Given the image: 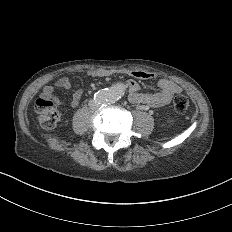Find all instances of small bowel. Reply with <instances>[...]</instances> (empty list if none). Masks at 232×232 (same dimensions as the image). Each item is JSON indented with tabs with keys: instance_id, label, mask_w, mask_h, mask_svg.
I'll return each mask as SVG.
<instances>
[{
	"instance_id": "small-bowel-1",
	"label": "small bowel",
	"mask_w": 232,
	"mask_h": 232,
	"mask_svg": "<svg viewBox=\"0 0 232 232\" xmlns=\"http://www.w3.org/2000/svg\"><path fill=\"white\" fill-rule=\"evenodd\" d=\"M120 75L126 77L125 86L129 90L128 99L130 102H147L153 107L162 106L170 101V99L182 91L181 86L172 79L164 78L158 81L159 92L143 93L139 89L138 80H147L154 77V72L150 69H96L90 72V84L99 85L102 81L112 75ZM72 87V81L67 78H60L53 85L47 86L44 93L52 100L60 104V98L56 95L57 89L69 90ZM81 98V90L76 89L72 98L67 102L70 106H76Z\"/></svg>"
}]
</instances>
